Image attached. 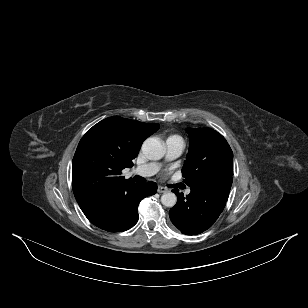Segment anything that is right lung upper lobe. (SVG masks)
<instances>
[{
    "label": "right lung upper lobe",
    "instance_id": "obj_1",
    "mask_svg": "<svg viewBox=\"0 0 308 308\" xmlns=\"http://www.w3.org/2000/svg\"><path fill=\"white\" fill-rule=\"evenodd\" d=\"M158 129V124L113 116L86 132L72 162V188L83 213L113 204L135 184L121 171L133 166L143 141Z\"/></svg>",
    "mask_w": 308,
    "mask_h": 308
}]
</instances>
